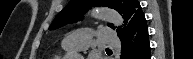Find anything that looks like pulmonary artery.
Here are the masks:
<instances>
[{
  "mask_svg": "<svg viewBox=\"0 0 193 59\" xmlns=\"http://www.w3.org/2000/svg\"><path fill=\"white\" fill-rule=\"evenodd\" d=\"M93 40L94 33L88 29H83L66 34L62 47L66 51L82 50L88 48ZM99 40L109 46L121 45V41L117 34H102Z\"/></svg>",
  "mask_w": 193,
  "mask_h": 59,
  "instance_id": "obj_1",
  "label": "pulmonary artery"
}]
</instances>
